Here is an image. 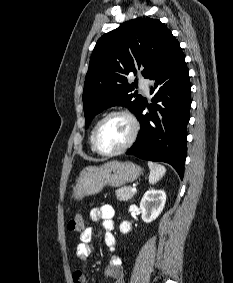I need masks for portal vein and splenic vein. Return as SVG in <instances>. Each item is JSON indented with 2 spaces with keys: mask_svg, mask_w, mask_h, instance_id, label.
Listing matches in <instances>:
<instances>
[{
  "mask_svg": "<svg viewBox=\"0 0 233 283\" xmlns=\"http://www.w3.org/2000/svg\"><path fill=\"white\" fill-rule=\"evenodd\" d=\"M131 191L135 193L137 190H136L135 187H133V188H131Z\"/></svg>",
  "mask_w": 233,
  "mask_h": 283,
  "instance_id": "18ae733b",
  "label": "portal vein and splenic vein"
}]
</instances>
